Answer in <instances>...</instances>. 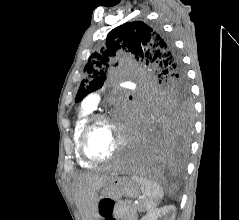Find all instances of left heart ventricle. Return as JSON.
I'll list each match as a JSON object with an SVG mask.
<instances>
[{
  "label": "left heart ventricle",
  "instance_id": "b2bd125f",
  "mask_svg": "<svg viewBox=\"0 0 239 220\" xmlns=\"http://www.w3.org/2000/svg\"><path fill=\"white\" fill-rule=\"evenodd\" d=\"M118 140L119 132L113 124L99 123L89 134L87 148L93 157L104 158L115 150Z\"/></svg>",
  "mask_w": 239,
  "mask_h": 220
}]
</instances>
